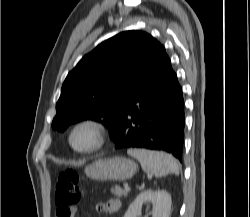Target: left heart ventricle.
Masks as SVG:
<instances>
[{
  "instance_id": "obj_1",
  "label": "left heart ventricle",
  "mask_w": 250,
  "mask_h": 217,
  "mask_svg": "<svg viewBox=\"0 0 250 217\" xmlns=\"http://www.w3.org/2000/svg\"><path fill=\"white\" fill-rule=\"evenodd\" d=\"M73 143L78 148L87 147L91 143V134L87 130L78 131L73 137Z\"/></svg>"
}]
</instances>
